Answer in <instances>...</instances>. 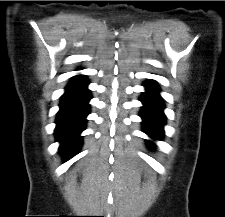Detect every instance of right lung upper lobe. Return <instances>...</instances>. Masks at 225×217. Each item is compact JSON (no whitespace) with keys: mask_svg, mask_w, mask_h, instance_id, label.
Returning a JSON list of instances; mask_svg holds the SVG:
<instances>
[{"mask_svg":"<svg viewBox=\"0 0 225 217\" xmlns=\"http://www.w3.org/2000/svg\"><path fill=\"white\" fill-rule=\"evenodd\" d=\"M76 77H83L82 75H77V76H75V77H73V78H76Z\"/></svg>","mask_w":225,"mask_h":217,"instance_id":"right-lung-upper-lobe-1","label":"right lung upper lobe"}]
</instances>
